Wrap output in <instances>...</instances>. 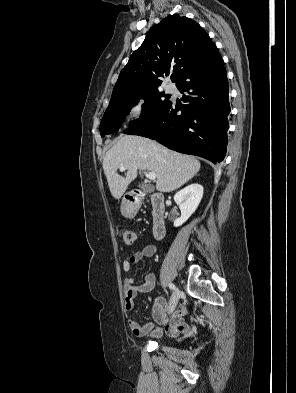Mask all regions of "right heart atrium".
<instances>
[{"mask_svg":"<svg viewBox=\"0 0 296 393\" xmlns=\"http://www.w3.org/2000/svg\"><path fill=\"white\" fill-rule=\"evenodd\" d=\"M146 112L145 104L142 101H139L133 104L130 108V115L133 120H139L144 117Z\"/></svg>","mask_w":296,"mask_h":393,"instance_id":"d8ad5b80","label":"right heart atrium"}]
</instances>
